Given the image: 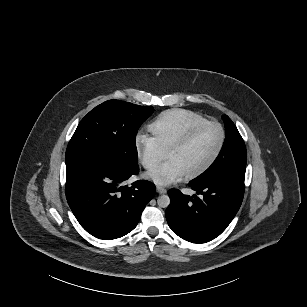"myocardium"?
I'll use <instances>...</instances> for the list:
<instances>
[{"label": "myocardium", "mask_w": 307, "mask_h": 307, "mask_svg": "<svg viewBox=\"0 0 307 307\" xmlns=\"http://www.w3.org/2000/svg\"><path fill=\"white\" fill-rule=\"evenodd\" d=\"M211 126H218V127H220V129L222 131V140H221L220 146L218 147L217 151L212 156V158L203 167H201L199 170H197L193 173L186 175L185 176L186 180H192V179L198 178V177L206 174L216 164V162L221 157V155H222V153L225 149V146L227 144L228 133H227L226 127L222 123L216 122V121L204 123V124L194 128L190 132H188L181 139L173 142L165 151L164 158L167 159L169 154L183 149L191 141H193L201 131H203L204 129L211 127Z\"/></svg>", "instance_id": "myocardium-1"}]
</instances>
